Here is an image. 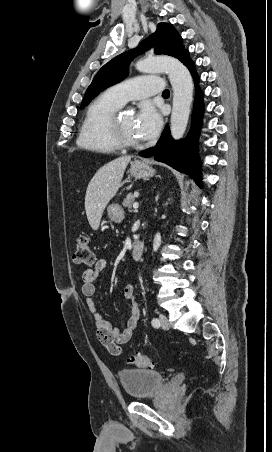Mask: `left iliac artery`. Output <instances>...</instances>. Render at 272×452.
<instances>
[{"label":"left iliac artery","instance_id":"1","mask_svg":"<svg viewBox=\"0 0 272 452\" xmlns=\"http://www.w3.org/2000/svg\"><path fill=\"white\" fill-rule=\"evenodd\" d=\"M151 323L156 328H158L160 326V322H159V320L157 318H153Z\"/></svg>","mask_w":272,"mask_h":452}]
</instances>
